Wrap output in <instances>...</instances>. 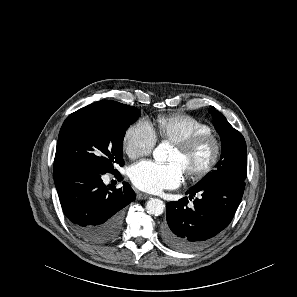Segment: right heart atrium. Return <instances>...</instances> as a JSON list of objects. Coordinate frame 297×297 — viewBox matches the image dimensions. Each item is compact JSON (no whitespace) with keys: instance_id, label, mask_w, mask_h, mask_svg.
<instances>
[{"instance_id":"obj_1","label":"right heart atrium","mask_w":297,"mask_h":297,"mask_svg":"<svg viewBox=\"0 0 297 297\" xmlns=\"http://www.w3.org/2000/svg\"><path fill=\"white\" fill-rule=\"evenodd\" d=\"M157 137L153 127L146 120H141L130 126L123 138L126 154L131 159L149 155L155 147Z\"/></svg>"}]
</instances>
